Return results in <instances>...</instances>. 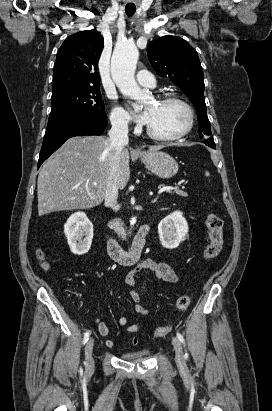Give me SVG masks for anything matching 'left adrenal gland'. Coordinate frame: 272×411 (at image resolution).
<instances>
[{
    "instance_id": "1",
    "label": "left adrenal gland",
    "mask_w": 272,
    "mask_h": 411,
    "mask_svg": "<svg viewBox=\"0 0 272 411\" xmlns=\"http://www.w3.org/2000/svg\"><path fill=\"white\" fill-rule=\"evenodd\" d=\"M157 201V198L155 199V200H153L152 202L154 203V202H156Z\"/></svg>"
}]
</instances>
